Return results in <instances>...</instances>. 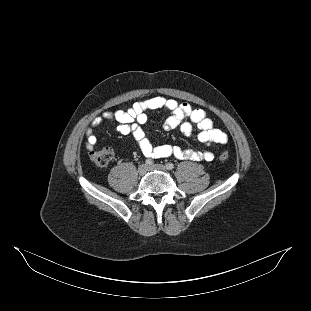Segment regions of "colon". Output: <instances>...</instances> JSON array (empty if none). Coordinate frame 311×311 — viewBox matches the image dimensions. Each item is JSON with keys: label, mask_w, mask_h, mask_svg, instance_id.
<instances>
[{"label": "colon", "mask_w": 311, "mask_h": 311, "mask_svg": "<svg viewBox=\"0 0 311 311\" xmlns=\"http://www.w3.org/2000/svg\"><path fill=\"white\" fill-rule=\"evenodd\" d=\"M90 158L92 162L98 167H105L113 158V151L110 148H103L100 150H93L90 152ZM229 158L227 150L222 151L219 154V160L224 162Z\"/></svg>", "instance_id": "1"}]
</instances>
